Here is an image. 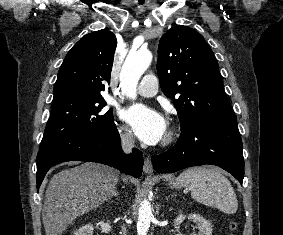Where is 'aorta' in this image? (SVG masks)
<instances>
[{
	"instance_id": "obj_1",
	"label": "aorta",
	"mask_w": 283,
	"mask_h": 235,
	"mask_svg": "<svg viewBox=\"0 0 283 235\" xmlns=\"http://www.w3.org/2000/svg\"><path fill=\"white\" fill-rule=\"evenodd\" d=\"M151 61L152 53L149 50L140 49L128 54L120 73V86L127 97L136 98L139 79ZM152 216L150 202L143 200L138 210L137 235H147Z\"/></svg>"
}]
</instances>
